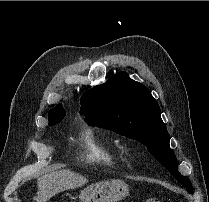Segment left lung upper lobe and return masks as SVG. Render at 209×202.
<instances>
[{
    "mask_svg": "<svg viewBox=\"0 0 209 202\" xmlns=\"http://www.w3.org/2000/svg\"><path fill=\"white\" fill-rule=\"evenodd\" d=\"M80 114L90 124L111 129L144 144L148 151L192 193L190 180L178 172L169 147V134L157 101L141 83L119 72L106 83L87 90L80 100Z\"/></svg>",
    "mask_w": 209,
    "mask_h": 202,
    "instance_id": "obj_1",
    "label": "left lung upper lobe"
}]
</instances>
